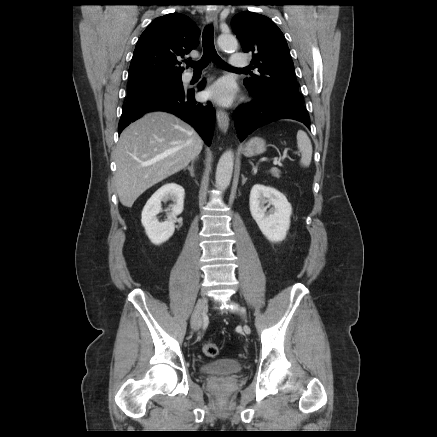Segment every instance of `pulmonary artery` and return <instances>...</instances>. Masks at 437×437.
<instances>
[{
    "instance_id": "obj_1",
    "label": "pulmonary artery",
    "mask_w": 437,
    "mask_h": 437,
    "mask_svg": "<svg viewBox=\"0 0 437 437\" xmlns=\"http://www.w3.org/2000/svg\"><path fill=\"white\" fill-rule=\"evenodd\" d=\"M230 66L235 69L245 68L248 66V61L242 54L234 53L230 58ZM187 77L191 78V75L189 74Z\"/></svg>"
}]
</instances>
